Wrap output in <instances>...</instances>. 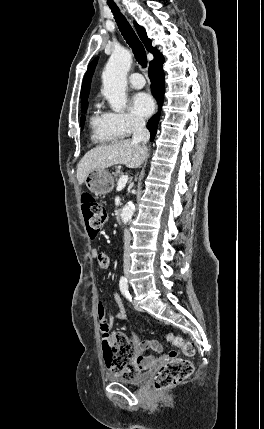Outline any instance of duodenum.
<instances>
[{"instance_id":"duodenum-1","label":"duodenum","mask_w":264,"mask_h":429,"mask_svg":"<svg viewBox=\"0 0 264 429\" xmlns=\"http://www.w3.org/2000/svg\"><path fill=\"white\" fill-rule=\"evenodd\" d=\"M117 219H118L119 221H121V220H122V214H121V212H118V213H117Z\"/></svg>"}]
</instances>
